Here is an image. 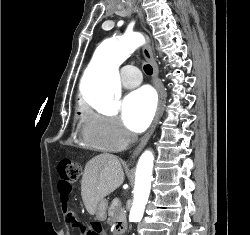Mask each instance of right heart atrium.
Returning <instances> with one entry per match:
<instances>
[{"label": "right heart atrium", "instance_id": "d8ad5b80", "mask_svg": "<svg viewBox=\"0 0 250 235\" xmlns=\"http://www.w3.org/2000/svg\"><path fill=\"white\" fill-rule=\"evenodd\" d=\"M82 131L85 141L101 150L120 151L133 140L132 134L111 114L87 111Z\"/></svg>", "mask_w": 250, "mask_h": 235}]
</instances>
